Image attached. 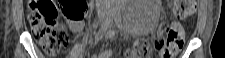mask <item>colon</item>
I'll return each mask as SVG.
<instances>
[{
  "instance_id": "colon-1",
  "label": "colon",
  "mask_w": 225,
  "mask_h": 58,
  "mask_svg": "<svg viewBox=\"0 0 225 58\" xmlns=\"http://www.w3.org/2000/svg\"><path fill=\"white\" fill-rule=\"evenodd\" d=\"M59 6L67 20L80 21L86 15L87 7L83 0H32L29 5L28 23L38 44L48 56H56L68 43L66 30L57 21ZM194 9L193 0L173 1L172 11L177 18L192 15ZM184 36L183 28L177 25L163 28L160 37L154 41V47L161 52V58H174L183 46ZM148 51L147 44L138 42L125 53V58H141Z\"/></svg>"
}]
</instances>
